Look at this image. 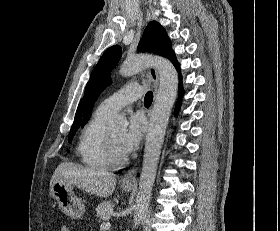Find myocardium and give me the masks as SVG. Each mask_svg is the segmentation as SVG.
<instances>
[{"instance_id":"f54148a6","label":"myocardium","mask_w":280,"mask_h":231,"mask_svg":"<svg viewBox=\"0 0 280 231\" xmlns=\"http://www.w3.org/2000/svg\"><path fill=\"white\" fill-rule=\"evenodd\" d=\"M104 147H105L106 158L110 164L116 165V164H120L126 160L125 155L118 154L115 151V148L112 143V139L110 137L108 130L106 131L105 136H104Z\"/></svg>"}]
</instances>
